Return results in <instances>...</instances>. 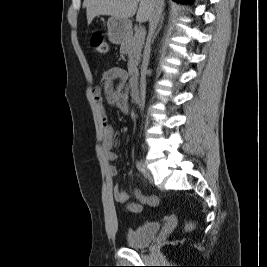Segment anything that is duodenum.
Returning a JSON list of instances; mask_svg holds the SVG:
<instances>
[{
    "label": "duodenum",
    "instance_id": "duodenum-1",
    "mask_svg": "<svg viewBox=\"0 0 267 267\" xmlns=\"http://www.w3.org/2000/svg\"><path fill=\"white\" fill-rule=\"evenodd\" d=\"M130 95L133 100H139L138 75L133 74L130 80Z\"/></svg>",
    "mask_w": 267,
    "mask_h": 267
}]
</instances>
